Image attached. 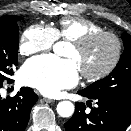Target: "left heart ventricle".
Masks as SVG:
<instances>
[{
    "instance_id": "b2bd125f",
    "label": "left heart ventricle",
    "mask_w": 131,
    "mask_h": 131,
    "mask_svg": "<svg viewBox=\"0 0 131 131\" xmlns=\"http://www.w3.org/2000/svg\"><path fill=\"white\" fill-rule=\"evenodd\" d=\"M113 54V42L103 37L96 39L82 49L71 45L67 57L76 62L80 71L97 73L107 66Z\"/></svg>"
}]
</instances>
